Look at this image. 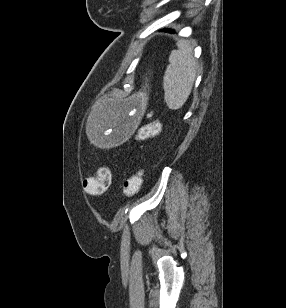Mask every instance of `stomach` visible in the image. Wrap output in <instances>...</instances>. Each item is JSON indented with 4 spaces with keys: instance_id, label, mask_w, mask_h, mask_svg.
I'll return each mask as SVG.
<instances>
[{
    "instance_id": "stomach-1",
    "label": "stomach",
    "mask_w": 286,
    "mask_h": 308,
    "mask_svg": "<svg viewBox=\"0 0 286 308\" xmlns=\"http://www.w3.org/2000/svg\"><path fill=\"white\" fill-rule=\"evenodd\" d=\"M144 100H122L121 96H106L99 100L101 112H89L94 125H86L90 144H132L129 132L138 125L141 114L137 107H144Z\"/></svg>"
}]
</instances>
